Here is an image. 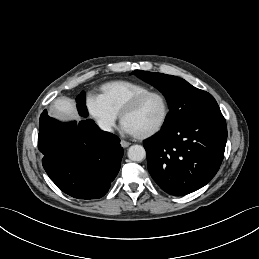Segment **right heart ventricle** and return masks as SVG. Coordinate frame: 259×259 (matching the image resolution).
I'll use <instances>...</instances> for the list:
<instances>
[{
	"label": "right heart ventricle",
	"instance_id": "e07e8e85",
	"mask_svg": "<svg viewBox=\"0 0 259 259\" xmlns=\"http://www.w3.org/2000/svg\"><path fill=\"white\" fill-rule=\"evenodd\" d=\"M100 91V97L118 115L133 98L150 91V88L136 82L117 80L102 85Z\"/></svg>",
	"mask_w": 259,
	"mask_h": 259
}]
</instances>
